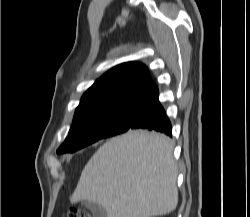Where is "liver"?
Returning <instances> with one entry per match:
<instances>
[{"instance_id":"obj_1","label":"liver","mask_w":250,"mask_h":217,"mask_svg":"<svg viewBox=\"0 0 250 217\" xmlns=\"http://www.w3.org/2000/svg\"><path fill=\"white\" fill-rule=\"evenodd\" d=\"M173 148L167 136L144 130L108 140L82 170L71 204H99L107 217L169 214L178 203Z\"/></svg>"}]
</instances>
